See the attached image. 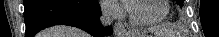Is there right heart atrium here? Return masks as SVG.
Instances as JSON below:
<instances>
[{
    "mask_svg": "<svg viewBox=\"0 0 219 37\" xmlns=\"http://www.w3.org/2000/svg\"><path fill=\"white\" fill-rule=\"evenodd\" d=\"M102 5L105 13L110 17H119L122 14V10L116 1H105Z\"/></svg>",
    "mask_w": 219,
    "mask_h": 37,
    "instance_id": "d8ad5b80",
    "label": "right heart atrium"
}]
</instances>
